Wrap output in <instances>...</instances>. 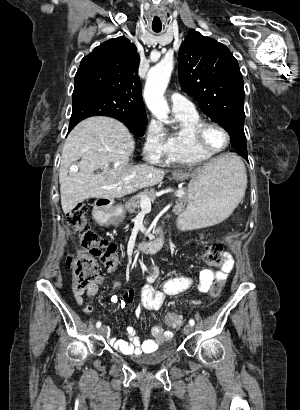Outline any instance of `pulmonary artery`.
<instances>
[{
    "instance_id": "1",
    "label": "pulmonary artery",
    "mask_w": 300,
    "mask_h": 410,
    "mask_svg": "<svg viewBox=\"0 0 300 410\" xmlns=\"http://www.w3.org/2000/svg\"><path fill=\"white\" fill-rule=\"evenodd\" d=\"M170 102H171V107L173 112H194L195 106L194 104L184 97L181 94L178 93H172L170 95Z\"/></svg>"
}]
</instances>
